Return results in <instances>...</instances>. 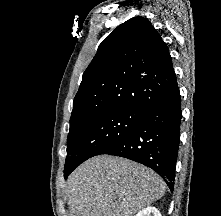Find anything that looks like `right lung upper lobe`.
<instances>
[{"instance_id":"right-lung-upper-lobe-1","label":"right lung upper lobe","mask_w":221,"mask_h":216,"mask_svg":"<svg viewBox=\"0 0 221 216\" xmlns=\"http://www.w3.org/2000/svg\"><path fill=\"white\" fill-rule=\"evenodd\" d=\"M166 43L143 17L118 26L99 46L74 98L70 126L122 108L144 109L175 81Z\"/></svg>"}]
</instances>
